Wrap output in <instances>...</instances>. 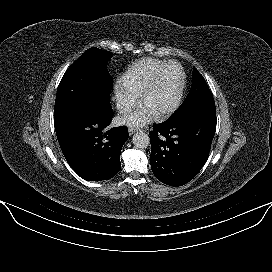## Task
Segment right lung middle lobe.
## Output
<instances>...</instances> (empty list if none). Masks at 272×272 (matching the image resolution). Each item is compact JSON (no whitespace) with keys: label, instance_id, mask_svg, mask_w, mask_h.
Masks as SVG:
<instances>
[{"label":"right lung middle lobe","instance_id":"obj_1","mask_svg":"<svg viewBox=\"0 0 272 272\" xmlns=\"http://www.w3.org/2000/svg\"><path fill=\"white\" fill-rule=\"evenodd\" d=\"M111 56L112 52L93 47L67 69L57 90L55 127L64 123L79 107L94 105L102 110L111 108L109 96L113 78L106 67Z\"/></svg>","mask_w":272,"mask_h":272}]
</instances>
